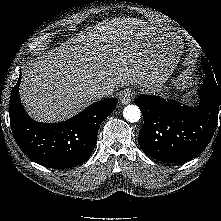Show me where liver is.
Here are the masks:
<instances>
[{
  "mask_svg": "<svg viewBox=\"0 0 221 221\" xmlns=\"http://www.w3.org/2000/svg\"><path fill=\"white\" fill-rule=\"evenodd\" d=\"M149 29L134 18L104 21L39 55L22 70L19 92L25 109L35 120L59 122L94 102L93 90L111 95L123 86L147 87Z\"/></svg>",
  "mask_w": 221,
  "mask_h": 221,
  "instance_id": "liver-1",
  "label": "liver"
}]
</instances>
